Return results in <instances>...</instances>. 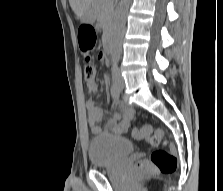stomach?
I'll return each mask as SVG.
<instances>
[{
	"mask_svg": "<svg viewBox=\"0 0 223 191\" xmlns=\"http://www.w3.org/2000/svg\"><path fill=\"white\" fill-rule=\"evenodd\" d=\"M81 20L84 23H93L95 20V14L93 10L89 7L84 13L81 15Z\"/></svg>",
	"mask_w": 223,
	"mask_h": 191,
	"instance_id": "stomach-1",
	"label": "stomach"
}]
</instances>
